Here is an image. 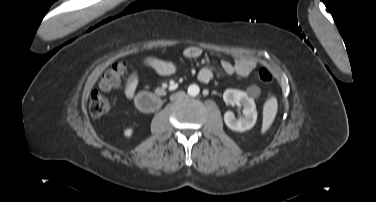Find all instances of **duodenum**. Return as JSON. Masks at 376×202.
<instances>
[{
  "label": "duodenum",
  "instance_id": "duodenum-1",
  "mask_svg": "<svg viewBox=\"0 0 376 202\" xmlns=\"http://www.w3.org/2000/svg\"><path fill=\"white\" fill-rule=\"evenodd\" d=\"M134 103L137 109L145 113H152L158 110L161 105L159 96L148 92L136 95Z\"/></svg>",
  "mask_w": 376,
  "mask_h": 202
}]
</instances>
